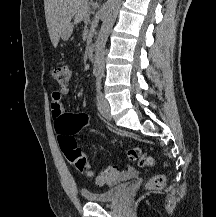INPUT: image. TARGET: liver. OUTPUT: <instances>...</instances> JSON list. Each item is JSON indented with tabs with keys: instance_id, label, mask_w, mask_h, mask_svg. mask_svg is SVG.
Returning <instances> with one entry per match:
<instances>
[{
	"instance_id": "1",
	"label": "liver",
	"mask_w": 216,
	"mask_h": 217,
	"mask_svg": "<svg viewBox=\"0 0 216 217\" xmlns=\"http://www.w3.org/2000/svg\"><path fill=\"white\" fill-rule=\"evenodd\" d=\"M88 0H44L45 18L51 42L57 47L65 28Z\"/></svg>"
}]
</instances>
